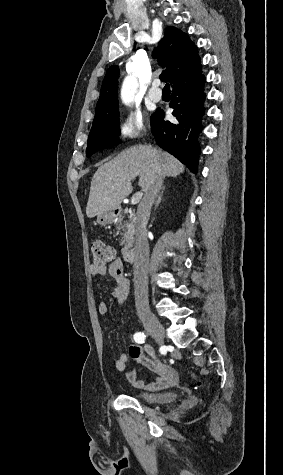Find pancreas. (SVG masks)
Here are the masks:
<instances>
[{"label":"pancreas","mask_w":283,"mask_h":475,"mask_svg":"<svg viewBox=\"0 0 283 475\" xmlns=\"http://www.w3.org/2000/svg\"><path fill=\"white\" fill-rule=\"evenodd\" d=\"M129 218V222H124L123 216H119V220H117L118 230L124 232L123 239L120 241L121 245H124L121 249L122 253H126L132 247V241H134V220L132 216H129Z\"/></svg>","instance_id":"obj_1"}]
</instances>
